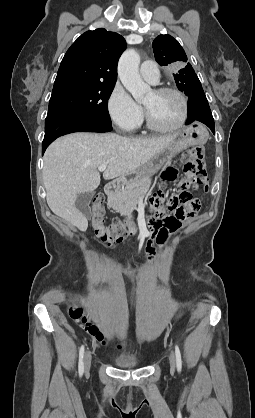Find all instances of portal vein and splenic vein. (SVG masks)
<instances>
[{"instance_id": "18ae733b", "label": "portal vein and splenic vein", "mask_w": 255, "mask_h": 418, "mask_svg": "<svg viewBox=\"0 0 255 418\" xmlns=\"http://www.w3.org/2000/svg\"><path fill=\"white\" fill-rule=\"evenodd\" d=\"M107 163H104V164H102V165H100L99 167H98V170L100 171V172H103L106 168H107Z\"/></svg>"}]
</instances>
